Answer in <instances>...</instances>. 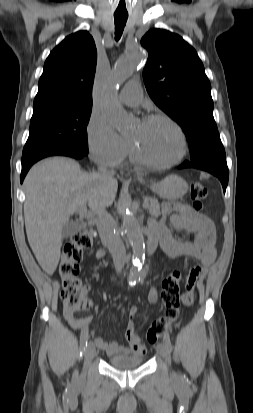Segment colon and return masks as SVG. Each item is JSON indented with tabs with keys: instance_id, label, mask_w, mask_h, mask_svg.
Returning a JSON list of instances; mask_svg holds the SVG:
<instances>
[{
	"instance_id": "5ec220e1",
	"label": "colon",
	"mask_w": 253,
	"mask_h": 413,
	"mask_svg": "<svg viewBox=\"0 0 253 413\" xmlns=\"http://www.w3.org/2000/svg\"><path fill=\"white\" fill-rule=\"evenodd\" d=\"M193 207L197 212L203 208V200L207 196L206 187L200 182L191 184L189 191ZM94 231L90 228L75 233L63 247L58 273L61 278V298L65 310L70 313L88 310L92 306L87 296L88 286L80 277V261L85 249L92 245ZM182 274L179 270L170 272L162 281L161 300L165 306V315L155 320L148 329L147 340L156 342L162 335L177 323L180 317V282Z\"/></svg>"
}]
</instances>
